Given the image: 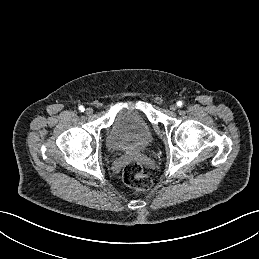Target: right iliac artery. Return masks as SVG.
Masks as SVG:
<instances>
[{"instance_id":"1","label":"right iliac artery","mask_w":259,"mask_h":259,"mask_svg":"<svg viewBox=\"0 0 259 259\" xmlns=\"http://www.w3.org/2000/svg\"><path fill=\"white\" fill-rule=\"evenodd\" d=\"M79 110L81 111V112H84V107L83 106H79Z\"/></svg>"}]
</instances>
